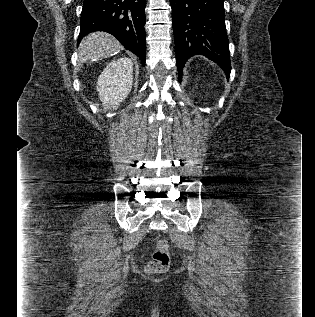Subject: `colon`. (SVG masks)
<instances>
[{
    "mask_svg": "<svg viewBox=\"0 0 315 317\" xmlns=\"http://www.w3.org/2000/svg\"><path fill=\"white\" fill-rule=\"evenodd\" d=\"M170 248L165 239H160L155 245L151 260L146 265V271L150 274L165 272L170 265Z\"/></svg>",
    "mask_w": 315,
    "mask_h": 317,
    "instance_id": "1",
    "label": "colon"
}]
</instances>
